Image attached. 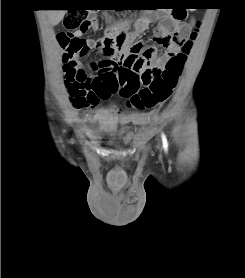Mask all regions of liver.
Listing matches in <instances>:
<instances>
[{
	"label": "liver",
	"mask_w": 245,
	"mask_h": 278,
	"mask_svg": "<svg viewBox=\"0 0 245 278\" xmlns=\"http://www.w3.org/2000/svg\"><path fill=\"white\" fill-rule=\"evenodd\" d=\"M67 10H48L47 16L52 26L57 25L63 18Z\"/></svg>",
	"instance_id": "1"
}]
</instances>
